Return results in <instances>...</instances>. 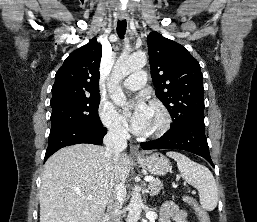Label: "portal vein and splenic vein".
<instances>
[{"label":"portal vein and splenic vein","instance_id":"1","mask_svg":"<svg viewBox=\"0 0 257 222\" xmlns=\"http://www.w3.org/2000/svg\"><path fill=\"white\" fill-rule=\"evenodd\" d=\"M145 180L148 181V182L155 181V179L153 177H146ZM92 198H93V196H91V195L87 196L88 200H91Z\"/></svg>","mask_w":257,"mask_h":222}]
</instances>
